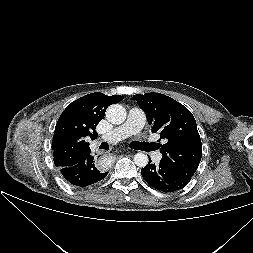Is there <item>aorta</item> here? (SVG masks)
I'll return each instance as SVG.
<instances>
[{"instance_id":"aorta-1","label":"aorta","mask_w":253,"mask_h":253,"mask_svg":"<svg viewBox=\"0 0 253 253\" xmlns=\"http://www.w3.org/2000/svg\"><path fill=\"white\" fill-rule=\"evenodd\" d=\"M126 110L120 104H112L106 110V118L112 124H121L126 120ZM134 163L138 167H145L148 164V157L144 153H137L134 156Z\"/></svg>"}]
</instances>
